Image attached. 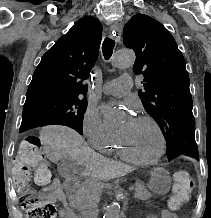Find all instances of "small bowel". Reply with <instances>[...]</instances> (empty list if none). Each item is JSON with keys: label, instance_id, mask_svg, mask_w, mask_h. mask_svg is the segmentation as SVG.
Here are the masks:
<instances>
[{"label": "small bowel", "instance_id": "obj_1", "mask_svg": "<svg viewBox=\"0 0 211 218\" xmlns=\"http://www.w3.org/2000/svg\"><path fill=\"white\" fill-rule=\"evenodd\" d=\"M39 197L41 200H45L52 204H61V207L58 210L61 218H78L77 214L73 212L67 204L65 191L59 179H54L50 185L41 192ZM147 218H177V216L173 211L165 209L162 210L159 215L151 214L148 215Z\"/></svg>", "mask_w": 211, "mask_h": 218}]
</instances>
